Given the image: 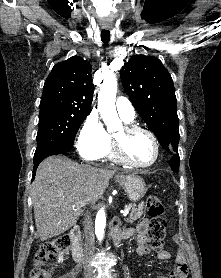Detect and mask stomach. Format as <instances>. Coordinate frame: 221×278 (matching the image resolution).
Masks as SVG:
<instances>
[{
  "mask_svg": "<svg viewBox=\"0 0 221 278\" xmlns=\"http://www.w3.org/2000/svg\"><path fill=\"white\" fill-rule=\"evenodd\" d=\"M115 180L123 187L132 202L142 199L147 191L144 180L137 175H117Z\"/></svg>",
  "mask_w": 221,
  "mask_h": 278,
  "instance_id": "0dacf381",
  "label": "stomach"
}]
</instances>
